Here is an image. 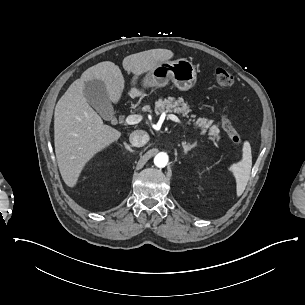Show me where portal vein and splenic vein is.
<instances>
[{
	"instance_id": "obj_1",
	"label": "portal vein and splenic vein",
	"mask_w": 305,
	"mask_h": 305,
	"mask_svg": "<svg viewBox=\"0 0 305 305\" xmlns=\"http://www.w3.org/2000/svg\"><path fill=\"white\" fill-rule=\"evenodd\" d=\"M165 115H166V112H165ZM165 115L163 116V119L165 118ZM169 117L172 121L180 124L184 129H187V127L184 125V123L180 120L179 117H177L176 115H170ZM139 121H140V116H138V115H129L124 120V122L127 125H134V124H137Z\"/></svg>"
}]
</instances>
